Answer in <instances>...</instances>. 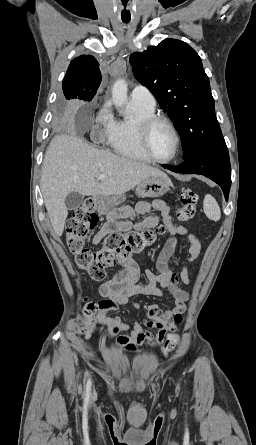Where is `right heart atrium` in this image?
<instances>
[{"instance_id":"1","label":"right heart atrium","mask_w":256,"mask_h":445,"mask_svg":"<svg viewBox=\"0 0 256 445\" xmlns=\"http://www.w3.org/2000/svg\"><path fill=\"white\" fill-rule=\"evenodd\" d=\"M114 123L115 120L111 114L109 106L104 104L95 118V125L92 130L93 138L99 142L107 140L114 128Z\"/></svg>"}]
</instances>
